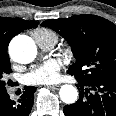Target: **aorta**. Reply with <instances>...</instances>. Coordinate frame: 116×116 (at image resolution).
Instances as JSON below:
<instances>
[{
	"instance_id": "762f6f07",
	"label": "aorta",
	"mask_w": 116,
	"mask_h": 116,
	"mask_svg": "<svg viewBox=\"0 0 116 116\" xmlns=\"http://www.w3.org/2000/svg\"><path fill=\"white\" fill-rule=\"evenodd\" d=\"M9 53L15 62L28 64L36 58L37 47L30 37L20 35L10 42ZM59 95L64 103L73 104L78 98V91L74 86L65 84L60 88Z\"/></svg>"
}]
</instances>
